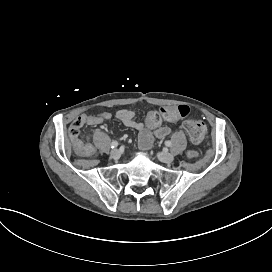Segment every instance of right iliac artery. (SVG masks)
Listing matches in <instances>:
<instances>
[{
  "mask_svg": "<svg viewBox=\"0 0 272 272\" xmlns=\"http://www.w3.org/2000/svg\"><path fill=\"white\" fill-rule=\"evenodd\" d=\"M119 145V143L117 141H113L111 143V148H116Z\"/></svg>",
  "mask_w": 272,
  "mask_h": 272,
  "instance_id": "1",
  "label": "right iliac artery"
}]
</instances>
